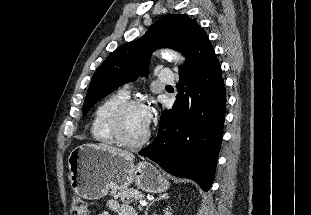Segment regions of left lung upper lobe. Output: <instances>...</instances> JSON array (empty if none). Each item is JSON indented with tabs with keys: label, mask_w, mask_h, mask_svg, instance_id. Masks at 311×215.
Masks as SVG:
<instances>
[{
	"label": "left lung upper lobe",
	"mask_w": 311,
	"mask_h": 215,
	"mask_svg": "<svg viewBox=\"0 0 311 215\" xmlns=\"http://www.w3.org/2000/svg\"><path fill=\"white\" fill-rule=\"evenodd\" d=\"M206 32L187 15H166L156 21L138 40L126 43L99 66L92 77L83 105V114L101 98L120 85L135 80L147 71L151 52L168 47L188 56L195 44Z\"/></svg>",
	"instance_id": "5c2ea615"
}]
</instances>
